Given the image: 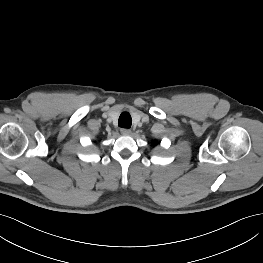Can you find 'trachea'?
I'll use <instances>...</instances> for the list:
<instances>
[{"mask_svg":"<svg viewBox=\"0 0 263 263\" xmlns=\"http://www.w3.org/2000/svg\"><path fill=\"white\" fill-rule=\"evenodd\" d=\"M118 124L120 127L130 128L132 124V118L129 113L123 112L119 117Z\"/></svg>","mask_w":263,"mask_h":263,"instance_id":"trachea-1","label":"trachea"}]
</instances>
